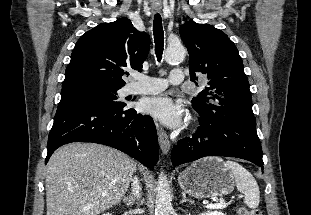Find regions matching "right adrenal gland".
Masks as SVG:
<instances>
[{
	"label": "right adrenal gland",
	"mask_w": 311,
	"mask_h": 215,
	"mask_svg": "<svg viewBox=\"0 0 311 215\" xmlns=\"http://www.w3.org/2000/svg\"><path fill=\"white\" fill-rule=\"evenodd\" d=\"M128 206H131L134 204L135 202V197L133 195H129L127 197H124V200H123Z\"/></svg>",
	"instance_id": "right-adrenal-gland-1"
}]
</instances>
